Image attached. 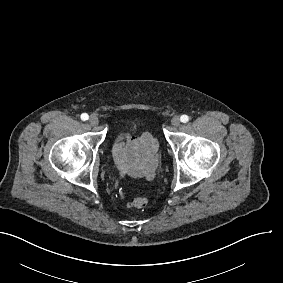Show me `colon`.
Wrapping results in <instances>:
<instances>
[{"mask_svg": "<svg viewBox=\"0 0 283 283\" xmlns=\"http://www.w3.org/2000/svg\"><path fill=\"white\" fill-rule=\"evenodd\" d=\"M148 200L143 195H134L130 202L128 203V207L143 209L147 206Z\"/></svg>", "mask_w": 283, "mask_h": 283, "instance_id": "1", "label": "colon"}]
</instances>
